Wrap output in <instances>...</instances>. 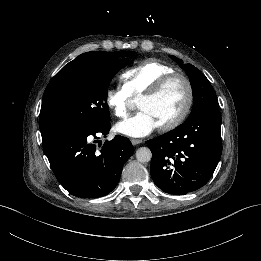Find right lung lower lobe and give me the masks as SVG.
<instances>
[{"mask_svg":"<svg viewBox=\"0 0 261 261\" xmlns=\"http://www.w3.org/2000/svg\"><path fill=\"white\" fill-rule=\"evenodd\" d=\"M110 122L95 129H63L43 142V150L61 185L73 196L98 198L118 184L125 162L134 152L130 140L115 136L97 148L98 135H106ZM106 137V136H104Z\"/></svg>","mask_w":261,"mask_h":261,"instance_id":"right-lung-lower-lobe-1","label":"right lung lower lobe"}]
</instances>
